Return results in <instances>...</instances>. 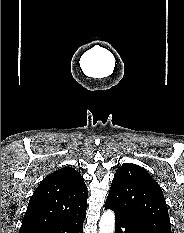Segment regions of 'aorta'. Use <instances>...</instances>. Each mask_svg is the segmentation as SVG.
I'll return each instance as SVG.
<instances>
[{
    "label": "aorta",
    "mask_w": 184,
    "mask_h": 233,
    "mask_svg": "<svg viewBox=\"0 0 184 233\" xmlns=\"http://www.w3.org/2000/svg\"><path fill=\"white\" fill-rule=\"evenodd\" d=\"M115 216L111 210L103 213L99 222V233H114Z\"/></svg>",
    "instance_id": "762f6f07"
}]
</instances>
